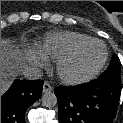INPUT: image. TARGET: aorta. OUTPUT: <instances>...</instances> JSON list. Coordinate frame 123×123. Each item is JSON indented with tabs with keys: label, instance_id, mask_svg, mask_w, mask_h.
Listing matches in <instances>:
<instances>
[{
	"label": "aorta",
	"instance_id": "aorta-1",
	"mask_svg": "<svg viewBox=\"0 0 123 123\" xmlns=\"http://www.w3.org/2000/svg\"><path fill=\"white\" fill-rule=\"evenodd\" d=\"M41 100H42V105L47 108H52V107L56 106V104H57L56 95L50 91L44 92L41 97Z\"/></svg>",
	"mask_w": 123,
	"mask_h": 123
}]
</instances>
